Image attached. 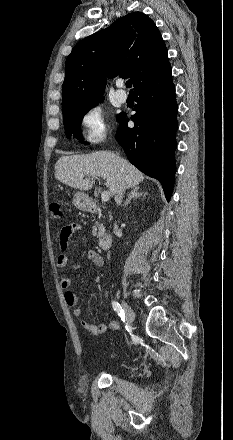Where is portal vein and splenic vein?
Instances as JSON below:
<instances>
[{
    "label": "portal vein and splenic vein",
    "instance_id": "18ae733b",
    "mask_svg": "<svg viewBox=\"0 0 233 440\" xmlns=\"http://www.w3.org/2000/svg\"><path fill=\"white\" fill-rule=\"evenodd\" d=\"M101 198L103 202H107L110 198V192L108 191H103L101 194Z\"/></svg>",
    "mask_w": 233,
    "mask_h": 440
}]
</instances>
